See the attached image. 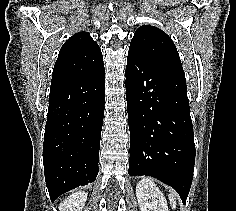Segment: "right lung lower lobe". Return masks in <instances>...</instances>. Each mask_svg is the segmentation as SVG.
Returning <instances> with one entry per match:
<instances>
[{
    "instance_id": "right-lung-lower-lobe-1",
    "label": "right lung lower lobe",
    "mask_w": 236,
    "mask_h": 211,
    "mask_svg": "<svg viewBox=\"0 0 236 211\" xmlns=\"http://www.w3.org/2000/svg\"><path fill=\"white\" fill-rule=\"evenodd\" d=\"M104 69L92 77L52 86L43 144L46 185L53 202L93 182L103 125Z\"/></svg>"
}]
</instances>
